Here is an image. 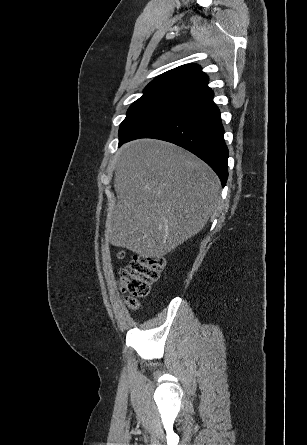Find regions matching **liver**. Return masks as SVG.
I'll return each mask as SVG.
<instances>
[{
  "instance_id": "6515ba94",
  "label": "liver",
  "mask_w": 307,
  "mask_h": 445,
  "mask_svg": "<svg viewBox=\"0 0 307 445\" xmlns=\"http://www.w3.org/2000/svg\"><path fill=\"white\" fill-rule=\"evenodd\" d=\"M114 186L105 237L143 259H162L195 237L220 202V180L206 162L155 138L120 148Z\"/></svg>"
}]
</instances>
